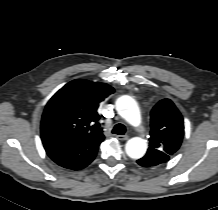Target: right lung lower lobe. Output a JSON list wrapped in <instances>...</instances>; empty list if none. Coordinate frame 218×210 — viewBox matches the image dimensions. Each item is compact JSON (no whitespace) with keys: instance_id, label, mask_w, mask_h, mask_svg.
Wrapping results in <instances>:
<instances>
[{"instance_id":"obj_1","label":"right lung lower lobe","mask_w":218,"mask_h":210,"mask_svg":"<svg viewBox=\"0 0 218 210\" xmlns=\"http://www.w3.org/2000/svg\"><path fill=\"white\" fill-rule=\"evenodd\" d=\"M47 155L59 166L80 170L95 158L98 147L104 138L79 140L58 133L41 134Z\"/></svg>"}]
</instances>
